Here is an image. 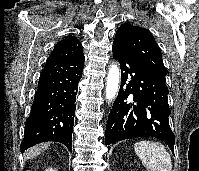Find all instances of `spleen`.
Returning <instances> with one entry per match:
<instances>
[{"label": "spleen", "mask_w": 199, "mask_h": 171, "mask_svg": "<svg viewBox=\"0 0 199 171\" xmlns=\"http://www.w3.org/2000/svg\"><path fill=\"white\" fill-rule=\"evenodd\" d=\"M134 150L147 171H172L171 157L163 144L143 140L135 143Z\"/></svg>", "instance_id": "spleen-1"}]
</instances>
